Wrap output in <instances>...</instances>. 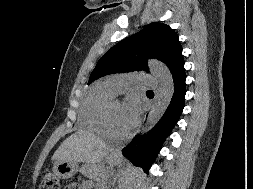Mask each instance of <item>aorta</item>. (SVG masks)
Returning a JSON list of instances; mask_svg holds the SVG:
<instances>
[{"mask_svg":"<svg viewBox=\"0 0 253 189\" xmlns=\"http://www.w3.org/2000/svg\"><path fill=\"white\" fill-rule=\"evenodd\" d=\"M149 67L157 79L158 89L143 128L142 135L147 134V132L161 119L168 108L174 93L173 76L167 66L160 61L151 60L149 62ZM127 168H130V164L127 165Z\"/></svg>","mask_w":253,"mask_h":189,"instance_id":"obj_1","label":"aorta"}]
</instances>
